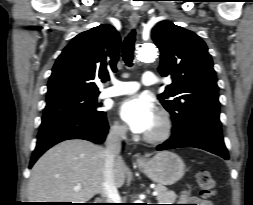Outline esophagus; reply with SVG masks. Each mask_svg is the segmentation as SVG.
<instances>
[{"label":"esophagus","mask_w":253,"mask_h":205,"mask_svg":"<svg viewBox=\"0 0 253 205\" xmlns=\"http://www.w3.org/2000/svg\"><path fill=\"white\" fill-rule=\"evenodd\" d=\"M139 20H140V16L137 13H132L131 14V16H130V23H131V25L133 27H135L138 24ZM135 162L137 164H141V163L145 162V158L143 156H139L138 155L135 158Z\"/></svg>","instance_id":"34e87169"}]
</instances>
